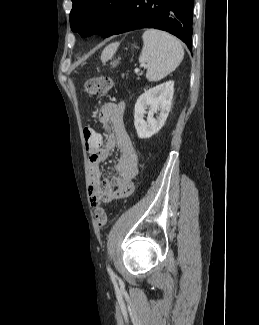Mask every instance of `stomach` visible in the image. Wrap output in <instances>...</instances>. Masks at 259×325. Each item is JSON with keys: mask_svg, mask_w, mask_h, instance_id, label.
Here are the masks:
<instances>
[{"mask_svg": "<svg viewBox=\"0 0 259 325\" xmlns=\"http://www.w3.org/2000/svg\"><path fill=\"white\" fill-rule=\"evenodd\" d=\"M117 64H118V61H114V62L112 63L113 66H116Z\"/></svg>", "mask_w": 259, "mask_h": 325, "instance_id": "stomach-1", "label": "stomach"}]
</instances>
